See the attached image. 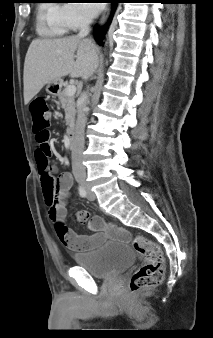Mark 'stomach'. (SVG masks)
Here are the masks:
<instances>
[{
  "label": "stomach",
  "mask_w": 213,
  "mask_h": 338,
  "mask_svg": "<svg viewBox=\"0 0 213 338\" xmlns=\"http://www.w3.org/2000/svg\"><path fill=\"white\" fill-rule=\"evenodd\" d=\"M61 86H62V80L61 79L54 80V81L47 84L46 91L49 94L55 96L60 91Z\"/></svg>",
  "instance_id": "stomach-1"
}]
</instances>
